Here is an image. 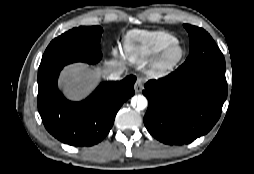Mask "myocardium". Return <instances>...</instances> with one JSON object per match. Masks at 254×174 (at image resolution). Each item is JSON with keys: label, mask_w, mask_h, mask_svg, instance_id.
<instances>
[{"label": "myocardium", "mask_w": 254, "mask_h": 174, "mask_svg": "<svg viewBox=\"0 0 254 174\" xmlns=\"http://www.w3.org/2000/svg\"><path fill=\"white\" fill-rule=\"evenodd\" d=\"M177 50V54L172 53ZM184 57V48L178 40L165 45L153 60L152 70L156 75H166L173 71Z\"/></svg>", "instance_id": "f54148a6"}]
</instances>
